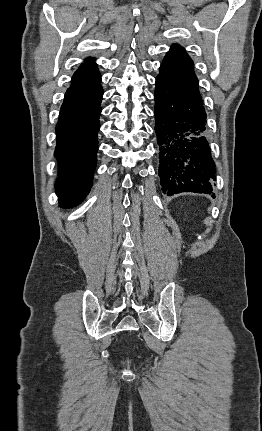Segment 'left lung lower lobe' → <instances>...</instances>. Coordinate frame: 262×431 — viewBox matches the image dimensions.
I'll list each match as a JSON object with an SVG mask.
<instances>
[{
	"mask_svg": "<svg viewBox=\"0 0 262 431\" xmlns=\"http://www.w3.org/2000/svg\"><path fill=\"white\" fill-rule=\"evenodd\" d=\"M154 99L162 191L211 193L216 168L202 102L158 77Z\"/></svg>",
	"mask_w": 262,
	"mask_h": 431,
	"instance_id": "0a47b994",
	"label": "left lung lower lobe"
}]
</instances>
